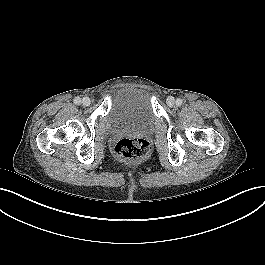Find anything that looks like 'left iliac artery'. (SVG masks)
I'll return each mask as SVG.
<instances>
[{
	"mask_svg": "<svg viewBox=\"0 0 265 265\" xmlns=\"http://www.w3.org/2000/svg\"><path fill=\"white\" fill-rule=\"evenodd\" d=\"M182 103H183V100L182 99L179 98V99L176 100V105L177 106H181Z\"/></svg>",
	"mask_w": 265,
	"mask_h": 265,
	"instance_id": "left-iliac-artery-1",
	"label": "left iliac artery"
}]
</instances>
